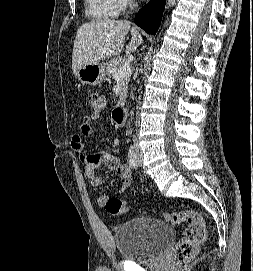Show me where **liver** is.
Segmentation results:
<instances>
[{
    "instance_id": "liver-1",
    "label": "liver",
    "mask_w": 253,
    "mask_h": 271,
    "mask_svg": "<svg viewBox=\"0 0 253 271\" xmlns=\"http://www.w3.org/2000/svg\"><path fill=\"white\" fill-rule=\"evenodd\" d=\"M127 20H101L82 25L76 34L72 54V70L75 75L89 63L99 62L120 53L124 47L125 35L130 30ZM132 39L125 48L126 56L143 43L136 27L131 28Z\"/></svg>"
}]
</instances>
